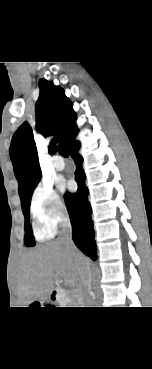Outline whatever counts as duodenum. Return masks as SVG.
Wrapping results in <instances>:
<instances>
[{
	"label": "duodenum",
	"instance_id": "1",
	"mask_svg": "<svg viewBox=\"0 0 152 369\" xmlns=\"http://www.w3.org/2000/svg\"><path fill=\"white\" fill-rule=\"evenodd\" d=\"M72 296H77L76 292H71ZM56 299L58 300L60 297H67V295L59 294L58 292L55 294Z\"/></svg>",
	"mask_w": 152,
	"mask_h": 369
}]
</instances>
